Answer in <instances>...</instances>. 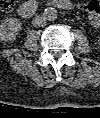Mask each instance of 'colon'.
I'll return each instance as SVG.
<instances>
[{"instance_id": "obj_1", "label": "colon", "mask_w": 100, "mask_h": 118, "mask_svg": "<svg viewBox=\"0 0 100 118\" xmlns=\"http://www.w3.org/2000/svg\"><path fill=\"white\" fill-rule=\"evenodd\" d=\"M14 4V0H1L2 11H9ZM86 10L90 14V19L93 24H98L100 21V7L97 1H90L85 4Z\"/></svg>"}]
</instances>
